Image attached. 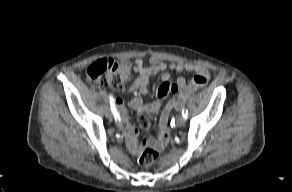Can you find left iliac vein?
I'll return each mask as SVG.
<instances>
[{
	"instance_id": "obj_1",
	"label": "left iliac vein",
	"mask_w": 292,
	"mask_h": 192,
	"mask_svg": "<svg viewBox=\"0 0 292 192\" xmlns=\"http://www.w3.org/2000/svg\"><path fill=\"white\" fill-rule=\"evenodd\" d=\"M176 124L178 126H183L185 124V119L183 117H178L177 120H176Z\"/></svg>"
}]
</instances>
